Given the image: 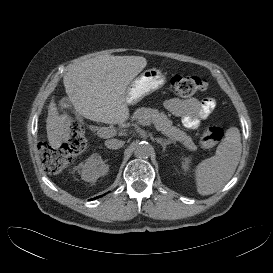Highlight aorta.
Segmentation results:
<instances>
[{
    "label": "aorta",
    "mask_w": 273,
    "mask_h": 273,
    "mask_svg": "<svg viewBox=\"0 0 273 273\" xmlns=\"http://www.w3.org/2000/svg\"><path fill=\"white\" fill-rule=\"evenodd\" d=\"M152 152V146L146 141L137 142L134 146V154L138 158H147Z\"/></svg>",
    "instance_id": "obj_1"
}]
</instances>
